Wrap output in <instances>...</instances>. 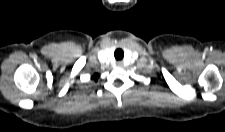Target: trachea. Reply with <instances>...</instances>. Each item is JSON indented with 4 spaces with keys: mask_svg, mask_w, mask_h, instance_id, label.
<instances>
[{
    "mask_svg": "<svg viewBox=\"0 0 225 132\" xmlns=\"http://www.w3.org/2000/svg\"><path fill=\"white\" fill-rule=\"evenodd\" d=\"M114 56L117 60H121L124 56L123 50L120 49V48L116 49L115 52H114Z\"/></svg>",
    "mask_w": 225,
    "mask_h": 132,
    "instance_id": "obj_1",
    "label": "trachea"
}]
</instances>
